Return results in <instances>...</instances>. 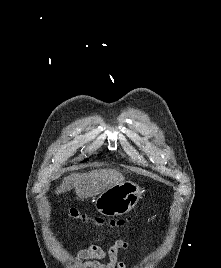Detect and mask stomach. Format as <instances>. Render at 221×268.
<instances>
[{"mask_svg":"<svg viewBox=\"0 0 221 268\" xmlns=\"http://www.w3.org/2000/svg\"><path fill=\"white\" fill-rule=\"evenodd\" d=\"M142 197L141 188L130 181L116 184L100 193L95 208L105 216H118L131 211Z\"/></svg>","mask_w":221,"mask_h":268,"instance_id":"0dacf381","label":"stomach"}]
</instances>
